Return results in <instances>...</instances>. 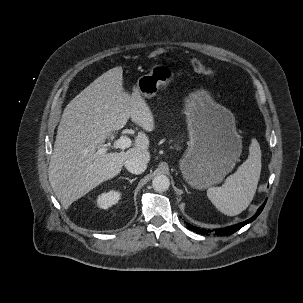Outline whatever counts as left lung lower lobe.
<instances>
[{
	"label": "left lung lower lobe",
	"mask_w": 303,
	"mask_h": 303,
	"mask_svg": "<svg viewBox=\"0 0 303 303\" xmlns=\"http://www.w3.org/2000/svg\"><path fill=\"white\" fill-rule=\"evenodd\" d=\"M265 206V203H263L257 213L250 219L244 221V222H241V223H238V224H235V225H232V226H229V227H225V228H222V229H214V233L217 235V236H225V235H230V234H233L234 232L238 231L240 228H242L243 226H245L246 224L252 222L254 219H256V217L261 213V211L263 210ZM187 227L188 229L194 231V232H197L199 234H202V235H208V233H210L211 231L210 230H206V229H201V228H198L196 226H192V225H189L187 224Z\"/></svg>",
	"instance_id": "obj_1"
}]
</instances>
